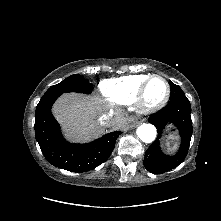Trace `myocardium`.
Masks as SVG:
<instances>
[{"label":"myocardium","instance_id":"obj_1","mask_svg":"<svg viewBox=\"0 0 221 221\" xmlns=\"http://www.w3.org/2000/svg\"><path fill=\"white\" fill-rule=\"evenodd\" d=\"M153 79H160L164 83V85L166 87V93L160 101H158L156 103H148L146 101V91H147V88H148L150 82ZM170 94H171L170 84L164 77H162L161 75H157V74L150 75L144 81V83L141 85V87L138 91V94H137V97L135 100L136 109L138 112H140L142 114L152 113V112L162 108L168 102V100L170 98Z\"/></svg>","mask_w":221,"mask_h":221}]
</instances>
